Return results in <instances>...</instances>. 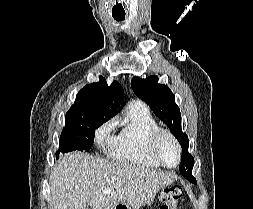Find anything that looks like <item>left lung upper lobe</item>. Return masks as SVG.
<instances>
[{
    "instance_id": "left-lung-upper-lobe-1",
    "label": "left lung upper lobe",
    "mask_w": 253,
    "mask_h": 209,
    "mask_svg": "<svg viewBox=\"0 0 253 209\" xmlns=\"http://www.w3.org/2000/svg\"><path fill=\"white\" fill-rule=\"evenodd\" d=\"M131 87L135 95L149 105L153 113L168 126L179 141L182 147L179 171L190 181L193 178L194 158L188 153L189 140L181 130V114L175 103L174 94L167 85L159 84L158 77L155 75L146 79L134 77Z\"/></svg>"
}]
</instances>
